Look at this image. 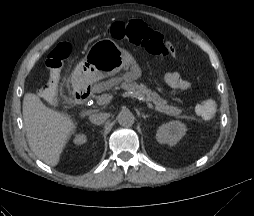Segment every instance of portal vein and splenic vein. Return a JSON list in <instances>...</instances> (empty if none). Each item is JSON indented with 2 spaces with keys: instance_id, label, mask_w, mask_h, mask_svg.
Instances as JSON below:
<instances>
[{
  "instance_id": "1",
  "label": "portal vein and splenic vein",
  "mask_w": 254,
  "mask_h": 216,
  "mask_svg": "<svg viewBox=\"0 0 254 216\" xmlns=\"http://www.w3.org/2000/svg\"><path fill=\"white\" fill-rule=\"evenodd\" d=\"M113 97H114L113 94H103L102 96H100V97L98 98L97 104H98V105H105V104H108V103L113 99ZM138 98H139L140 100H143V101H144V98H142V97H138ZM146 104H147V106H148L150 109L154 110V106H153L151 103H149V102L146 101Z\"/></svg>"
}]
</instances>
